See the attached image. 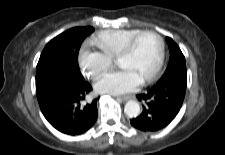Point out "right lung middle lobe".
Here are the masks:
<instances>
[{"instance_id":"dd1d6c3e","label":"right lung middle lobe","mask_w":225,"mask_h":155,"mask_svg":"<svg viewBox=\"0 0 225 155\" xmlns=\"http://www.w3.org/2000/svg\"><path fill=\"white\" fill-rule=\"evenodd\" d=\"M93 31V27L72 28L45 46L36 68V91L60 74H81L78 66L79 49L86 36Z\"/></svg>"}]
</instances>
